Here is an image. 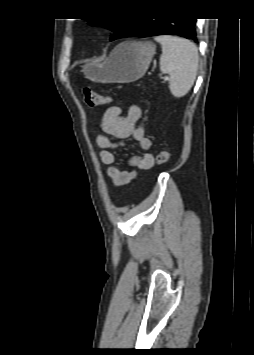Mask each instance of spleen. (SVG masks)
<instances>
[{
	"mask_svg": "<svg viewBox=\"0 0 254 355\" xmlns=\"http://www.w3.org/2000/svg\"><path fill=\"white\" fill-rule=\"evenodd\" d=\"M162 46L160 70L169 74V89L174 97L185 96L192 88L198 70L199 54L196 45L176 36H156Z\"/></svg>",
	"mask_w": 254,
	"mask_h": 355,
	"instance_id": "spleen-1",
	"label": "spleen"
}]
</instances>
